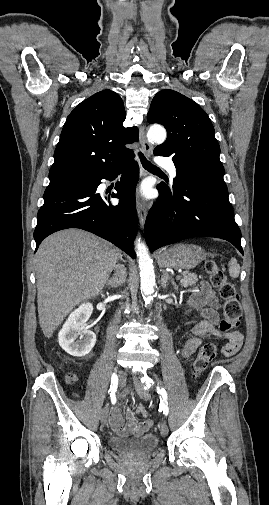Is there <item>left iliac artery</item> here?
<instances>
[{
	"instance_id": "1",
	"label": "left iliac artery",
	"mask_w": 269,
	"mask_h": 505,
	"mask_svg": "<svg viewBox=\"0 0 269 505\" xmlns=\"http://www.w3.org/2000/svg\"><path fill=\"white\" fill-rule=\"evenodd\" d=\"M157 393L160 395V410L163 411L165 416L169 413L168 402H167V392L165 389L157 387Z\"/></svg>"
}]
</instances>
